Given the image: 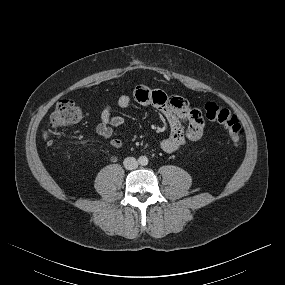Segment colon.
Instances as JSON below:
<instances>
[{"label": "colon", "instance_id": "obj_1", "mask_svg": "<svg viewBox=\"0 0 285 285\" xmlns=\"http://www.w3.org/2000/svg\"><path fill=\"white\" fill-rule=\"evenodd\" d=\"M204 111L207 119L224 127L232 143H240L243 130L239 119L230 109L209 102L205 105ZM81 118L82 110L74 101L69 99L60 100L49 117L48 129L44 133L45 140L51 142L56 131L74 125Z\"/></svg>", "mask_w": 285, "mask_h": 285}]
</instances>
